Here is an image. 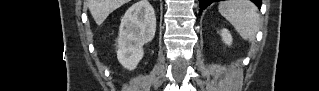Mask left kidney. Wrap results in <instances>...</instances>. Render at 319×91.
Segmentation results:
<instances>
[{"instance_id": "left-kidney-1", "label": "left kidney", "mask_w": 319, "mask_h": 91, "mask_svg": "<svg viewBox=\"0 0 319 91\" xmlns=\"http://www.w3.org/2000/svg\"><path fill=\"white\" fill-rule=\"evenodd\" d=\"M221 37H222V40L223 42L226 44V45H231L232 44V36L229 32V30L227 29H222L221 31Z\"/></svg>"}]
</instances>
